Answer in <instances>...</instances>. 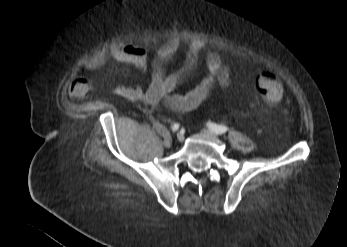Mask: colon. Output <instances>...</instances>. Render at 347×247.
Returning a JSON list of instances; mask_svg holds the SVG:
<instances>
[{
    "mask_svg": "<svg viewBox=\"0 0 347 247\" xmlns=\"http://www.w3.org/2000/svg\"><path fill=\"white\" fill-rule=\"evenodd\" d=\"M257 90L265 102L270 105L281 102L285 97V88L271 71L262 72L257 81Z\"/></svg>",
    "mask_w": 347,
    "mask_h": 247,
    "instance_id": "1",
    "label": "colon"
}]
</instances>
